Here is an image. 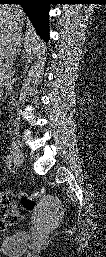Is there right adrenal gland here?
Here are the masks:
<instances>
[{
	"mask_svg": "<svg viewBox=\"0 0 106 257\" xmlns=\"http://www.w3.org/2000/svg\"><path fill=\"white\" fill-rule=\"evenodd\" d=\"M20 48H21V42H20V44H19V46H18L17 53L20 52V50H21Z\"/></svg>",
	"mask_w": 106,
	"mask_h": 257,
	"instance_id": "1",
	"label": "right adrenal gland"
}]
</instances>
